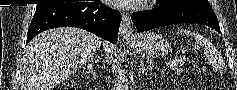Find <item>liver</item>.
Wrapping results in <instances>:
<instances>
[{"label":"liver","instance_id":"liver-1","mask_svg":"<svg viewBox=\"0 0 237 90\" xmlns=\"http://www.w3.org/2000/svg\"><path fill=\"white\" fill-rule=\"evenodd\" d=\"M101 46L111 62L112 44L86 30L54 28L38 34L24 52L22 90H53L94 58Z\"/></svg>","mask_w":237,"mask_h":90}]
</instances>
